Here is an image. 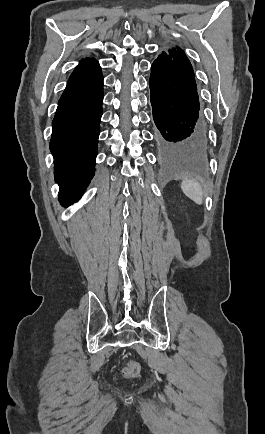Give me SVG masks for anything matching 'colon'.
Wrapping results in <instances>:
<instances>
[{
	"mask_svg": "<svg viewBox=\"0 0 265 434\" xmlns=\"http://www.w3.org/2000/svg\"><path fill=\"white\" fill-rule=\"evenodd\" d=\"M140 373V367L138 363L131 361L123 369V375L127 379L136 378Z\"/></svg>",
	"mask_w": 265,
	"mask_h": 434,
	"instance_id": "1",
	"label": "colon"
}]
</instances>
